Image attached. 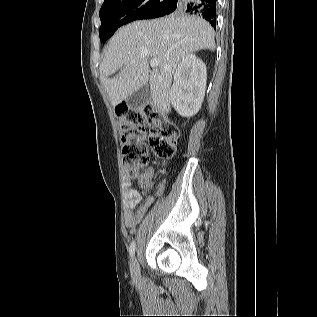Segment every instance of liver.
<instances>
[{
  "label": "liver",
  "instance_id": "6515ba94",
  "mask_svg": "<svg viewBox=\"0 0 317 317\" xmlns=\"http://www.w3.org/2000/svg\"><path fill=\"white\" fill-rule=\"evenodd\" d=\"M214 36L211 25L198 16L171 14L121 27L106 47L99 67L112 106L149 82L154 106L160 113H169L170 87L178 63L192 52L214 51ZM155 58L160 64L151 71L149 60Z\"/></svg>",
  "mask_w": 317,
  "mask_h": 317
}]
</instances>
